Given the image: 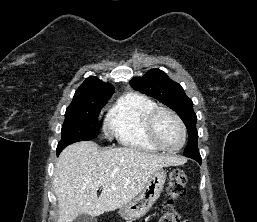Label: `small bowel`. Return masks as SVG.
<instances>
[{
	"label": "small bowel",
	"instance_id": "small-bowel-1",
	"mask_svg": "<svg viewBox=\"0 0 257 222\" xmlns=\"http://www.w3.org/2000/svg\"><path fill=\"white\" fill-rule=\"evenodd\" d=\"M182 222H191V221H189V220H183Z\"/></svg>",
	"mask_w": 257,
	"mask_h": 222
}]
</instances>
